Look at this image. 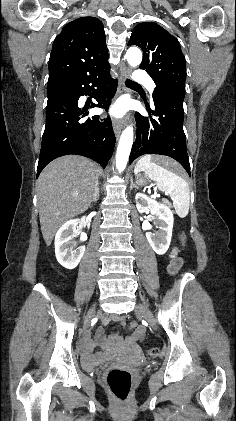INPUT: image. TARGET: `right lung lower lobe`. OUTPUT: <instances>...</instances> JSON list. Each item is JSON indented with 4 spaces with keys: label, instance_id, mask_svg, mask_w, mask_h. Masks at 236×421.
Listing matches in <instances>:
<instances>
[{
    "label": "right lung lower lobe",
    "instance_id": "right-lung-lower-lobe-1",
    "mask_svg": "<svg viewBox=\"0 0 236 421\" xmlns=\"http://www.w3.org/2000/svg\"><path fill=\"white\" fill-rule=\"evenodd\" d=\"M109 70V67L102 68L53 85L65 90L68 98L47 103L37 177L49 162L69 154L91 158L106 167L115 145L111 120L100 119L98 115L86 119L87 109L81 110L78 100L92 90L97 104L92 103L91 107L107 110L117 88V81L110 77Z\"/></svg>",
    "mask_w": 236,
    "mask_h": 421
}]
</instances>
